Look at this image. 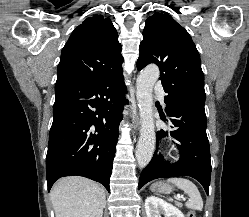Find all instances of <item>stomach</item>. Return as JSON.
Here are the masks:
<instances>
[{"label": "stomach", "mask_w": 249, "mask_h": 217, "mask_svg": "<svg viewBox=\"0 0 249 217\" xmlns=\"http://www.w3.org/2000/svg\"><path fill=\"white\" fill-rule=\"evenodd\" d=\"M151 189L158 193L169 194L173 191V186L166 182H157L151 186Z\"/></svg>", "instance_id": "0dacf381"}]
</instances>
